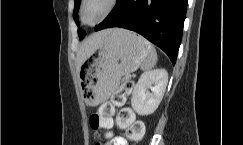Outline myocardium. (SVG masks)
<instances>
[{
	"mask_svg": "<svg viewBox=\"0 0 243 145\" xmlns=\"http://www.w3.org/2000/svg\"><path fill=\"white\" fill-rule=\"evenodd\" d=\"M89 2V0H81L80 10H79V19L82 24L86 26H96L100 22H102L104 19H106L115 9L118 7L120 0H107V5L104 11L101 13V15L93 22L88 23L84 20V9L86 4Z\"/></svg>",
	"mask_w": 243,
	"mask_h": 145,
	"instance_id": "1",
	"label": "myocardium"
}]
</instances>
